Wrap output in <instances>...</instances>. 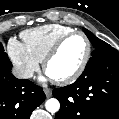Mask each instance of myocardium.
Masks as SVG:
<instances>
[{"label":"myocardium","instance_id":"myocardium-1","mask_svg":"<svg viewBox=\"0 0 119 119\" xmlns=\"http://www.w3.org/2000/svg\"><path fill=\"white\" fill-rule=\"evenodd\" d=\"M74 36H81L85 40L86 46H87L85 56H84L82 62L80 63V65L78 66V68L73 73H71L70 75H68L64 78L53 79V81L57 84L66 85V84H70V83L74 82L75 80H77L82 75V73L84 72V70L87 67V64L89 63L91 53H92V43H91L90 39L82 31H72V32L62 36L52 46V48L48 51V53L46 54V56L43 60L44 71L47 73V66L50 63V61L58 54V52L60 51L63 44L67 40H69L70 38H72Z\"/></svg>","mask_w":119,"mask_h":119}]
</instances>
